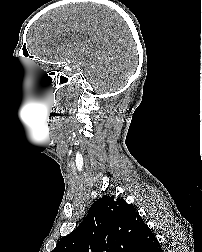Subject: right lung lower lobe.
Segmentation results:
<instances>
[{
    "label": "right lung lower lobe",
    "mask_w": 202,
    "mask_h": 252,
    "mask_svg": "<svg viewBox=\"0 0 202 252\" xmlns=\"http://www.w3.org/2000/svg\"><path fill=\"white\" fill-rule=\"evenodd\" d=\"M153 252H163V250L161 249V246L159 245L155 248Z\"/></svg>",
    "instance_id": "98d812e1"
}]
</instances>
